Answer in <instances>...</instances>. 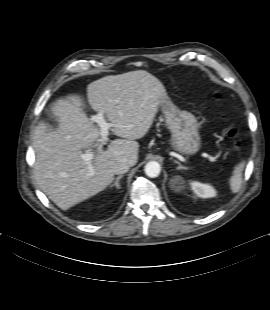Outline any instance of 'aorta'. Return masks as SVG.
I'll return each instance as SVG.
<instances>
[{"label": "aorta", "instance_id": "1", "mask_svg": "<svg viewBox=\"0 0 270 310\" xmlns=\"http://www.w3.org/2000/svg\"><path fill=\"white\" fill-rule=\"evenodd\" d=\"M144 171L148 177L155 178V177L159 176L160 171H161V167H160V164L158 162L150 161L145 165Z\"/></svg>", "mask_w": 270, "mask_h": 310}]
</instances>
